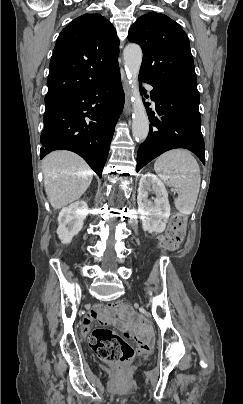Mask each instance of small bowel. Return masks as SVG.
<instances>
[{"mask_svg":"<svg viewBox=\"0 0 243 404\" xmlns=\"http://www.w3.org/2000/svg\"><path fill=\"white\" fill-rule=\"evenodd\" d=\"M98 319L97 309L93 310L89 313L83 322V331L87 333L90 330L91 324Z\"/></svg>","mask_w":243,"mask_h":404,"instance_id":"1","label":"small bowel"}]
</instances>
